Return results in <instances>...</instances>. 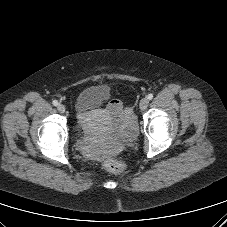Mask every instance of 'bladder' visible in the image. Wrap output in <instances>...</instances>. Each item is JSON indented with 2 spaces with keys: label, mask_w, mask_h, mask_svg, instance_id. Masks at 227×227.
I'll return each instance as SVG.
<instances>
[{
  "label": "bladder",
  "mask_w": 227,
  "mask_h": 227,
  "mask_svg": "<svg viewBox=\"0 0 227 227\" xmlns=\"http://www.w3.org/2000/svg\"><path fill=\"white\" fill-rule=\"evenodd\" d=\"M110 96L105 85H94L83 89L76 98V129L90 128L101 116V103Z\"/></svg>",
  "instance_id": "bladder-1"
}]
</instances>
